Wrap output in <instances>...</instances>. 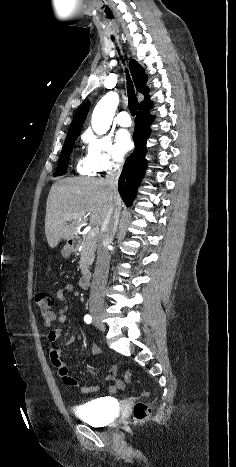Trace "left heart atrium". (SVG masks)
<instances>
[{
	"label": "left heart atrium",
	"mask_w": 236,
	"mask_h": 467,
	"mask_svg": "<svg viewBox=\"0 0 236 467\" xmlns=\"http://www.w3.org/2000/svg\"><path fill=\"white\" fill-rule=\"evenodd\" d=\"M116 142L120 154H124L132 147L131 136L127 130H119L117 132Z\"/></svg>",
	"instance_id": "39dd6f15"
}]
</instances>
